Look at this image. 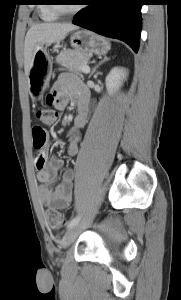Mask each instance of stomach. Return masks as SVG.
<instances>
[{
    "instance_id": "0dacf381",
    "label": "stomach",
    "mask_w": 181,
    "mask_h": 300,
    "mask_svg": "<svg viewBox=\"0 0 181 300\" xmlns=\"http://www.w3.org/2000/svg\"><path fill=\"white\" fill-rule=\"evenodd\" d=\"M71 46L82 53L104 55L110 49V43L100 35L87 30H79L70 36ZM52 62L44 45H39L34 55L28 76L29 92L33 98H41L49 82Z\"/></svg>"
}]
</instances>
